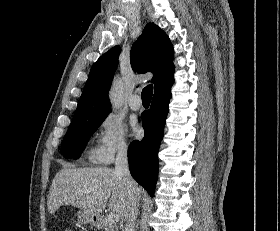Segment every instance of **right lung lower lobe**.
<instances>
[{"label":"right lung lower lobe","instance_id":"obj_1","mask_svg":"<svg viewBox=\"0 0 280 231\" xmlns=\"http://www.w3.org/2000/svg\"><path fill=\"white\" fill-rule=\"evenodd\" d=\"M170 99L171 90L153 96L151 108L142 115L144 138L133 141L128 150L130 172L151 196H154L157 181V153L164 134Z\"/></svg>","mask_w":280,"mask_h":231}]
</instances>
